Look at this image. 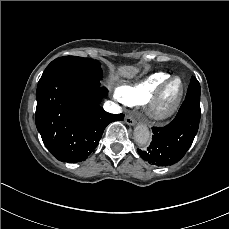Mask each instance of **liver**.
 Wrapping results in <instances>:
<instances>
[{"label": "liver", "mask_w": 229, "mask_h": 229, "mask_svg": "<svg viewBox=\"0 0 229 229\" xmlns=\"http://www.w3.org/2000/svg\"><path fill=\"white\" fill-rule=\"evenodd\" d=\"M135 71L136 70L134 67L121 68V72L126 76H132L135 73ZM113 77L115 78V80H118L120 78L116 71L113 72Z\"/></svg>", "instance_id": "liver-1"}]
</instances>
